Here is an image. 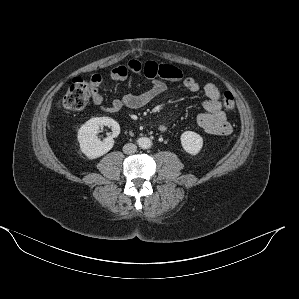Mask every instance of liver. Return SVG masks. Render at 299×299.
<instances>
[{
    "mask_svg": "<svg viewBox=\"0 0 299 299\" xmlns=\"http://www.w3.org/2000/svg\"><path fill=\"white\" fill-rule=\"evenodd\" d=\"M59 104H60V102L58 103V108H60V105H59Z\"/></svg>",
    "mask_w": 299,
    "mask_h": 299,
    "instance_id": "liver-1",
    "label": "liver"
}]
</instances>
